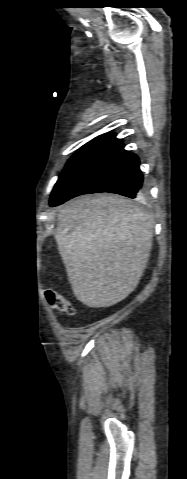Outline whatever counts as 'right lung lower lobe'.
<instances>
[{"instance_id": "98d812e1", "label": "right lung lower lobe", "mask_w": 187, "mask_h": 479, "mask_svg": "<svg viewBox=\"0 0 187 479\" xmlns=\"http://www.w3.org/2000/svg\"><path fill=\"white\" fill-rule=\"evenodd\" d=\"M143 181L137 155L124 150L121 143L76 178L50 205L54 207L89 193L111 192L130 198L142 197L145 194Z\"/></svg>"}]
</instances>
